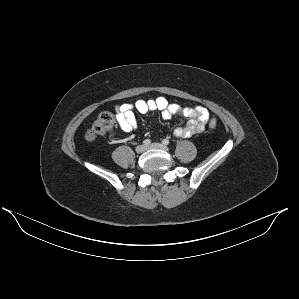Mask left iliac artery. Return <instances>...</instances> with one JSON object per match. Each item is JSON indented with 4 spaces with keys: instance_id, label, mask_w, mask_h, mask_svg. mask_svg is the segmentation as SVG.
<instances>
[{
    "instance_id": "left-iliac-artery-1",
    "label": "left iliac artery",
    "mask_w": 299,
    "mask_h": 299,
    "mask_svg": "<svg viewBox=\"0 0 299 299\" xmlns=\"http://www.w3.org/2000/svg\"><path fill=\"white\" fill-rule=\"evenodd\" d=\"M162 143H163L164 145H168L170 142H169L168 139H163Z\"/></svg>"
}]
</instances>
